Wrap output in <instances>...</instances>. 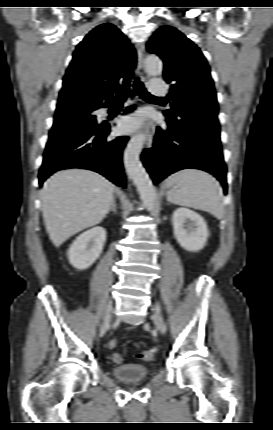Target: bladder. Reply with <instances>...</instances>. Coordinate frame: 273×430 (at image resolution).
I'll return each mask as SVG.
<instances>
[{"mask_svg":"<svg viewBox=\"0 0 273 430\" xmlns=\"http://www.w3.org/2000/svg\"><path fill=\"white\" fill-rule=\"evenodd\" d=\"M112 375L123 383H136L148 378V368L141 364H122L112 369Z\"/></svg>","mask_w":273,"mask_h":430,"instance_id":"bladder-1","label":"bladder"}]
</instances>
